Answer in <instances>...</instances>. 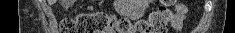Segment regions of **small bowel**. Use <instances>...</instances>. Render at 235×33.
Instances as JSON below:
<instances>
[{
  "label": "small bowel",
  "instance_id": "1",
  "mask_svg": "<svg viewBox=\"0 0 235 33\" xmlns=\"http://www.w3.org/2000/svg\"><path fill=\"white\" fill-rule=\"evenodd\" d=\"M148 2L149 1L147 0L135 1L132 4L124 2V3L119 4V9L123 12H127L130 10L141 12L145 9ZM186 13H187V8L183 4L181 3L175 4V14L173 15L171 19V25L176 32H181ZM107 33H115V32L109 31Z\"/></svg>",
  "mask_w": 235,
  "mask_h": 33
}]
</instances>
